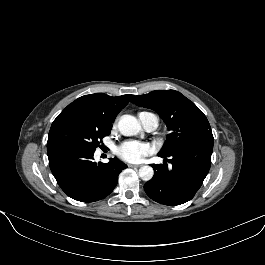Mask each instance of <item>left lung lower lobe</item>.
<instances>
[{
  "mask_svg": "<svg viewBox=\"0 0 265 265\" xmlns=\"http://www.w3.org/2000/svg\"><path fill=\"white\" fill-rule=\"evenodd\" d=\"M212 151L213 135L203 134L170 154L159 153L165 162L153 164L154 176L144 185L145 192L154 201L168 206L191 200L209 172Z\"/></svg>",
  "mask_w": 265,
  "mask_h": 265,
  "instance_id": "obj_1",
  "label": "left lung lower lobe"
}]
</instances>
